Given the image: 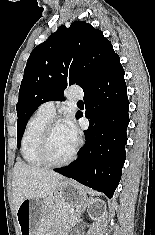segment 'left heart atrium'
<instances>
[{"mask_svg":"<svg viewBox=\"0 0 155 235\" xmlns=\"http://www.w3.org/2000/svg\"><path fill=\"white\" fill-rule=\"evenodd\" d=\"M64 127L67 130L70 137L73 139L74 142H77L78 139V130L77 127L71 117H67L64 121Z\"/></svg>","mask_w":155,"mask_h":235,"instance_id":"1","label":"left heart atrium"}]
</instances>
